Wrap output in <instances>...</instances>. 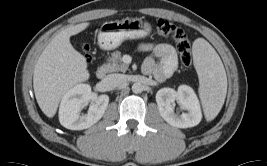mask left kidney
Returning <instances> with one entry per match:
<instances>
[{"label":"left kidney","mask_w":267,"mask_h":166,"mask_svg":"<svg viewBox=\"0 0 267 166\" xmlns=\"http://www.w3.org/2000/svg\"><path fill=\"white\" fill-rule=\"evenodd\" d=\"M175 101L187 113H182L181 115L175 114ZM156 102L162 118L174 127H194L202 119L199 100L190 86L181 85L177 91L172 88H162L156 93Z\"/></svg>","instance_id":"1"}]
</instances>
